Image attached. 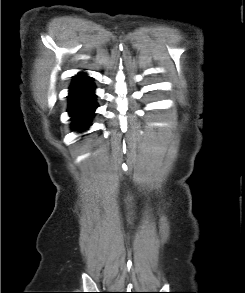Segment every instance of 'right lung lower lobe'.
<instances>
[{
    "mask_svg": "<svg viewBox=\"0 0 245 293\" xmlns=\"http://www.w3.org/2000/svg\"><path fill=\"white\" fill-rule=\"evenodd\" d=\"M95 86L90 77L79 74L74 77L69 91V115L74 130H84L91 125V117L97 108Z\"/></svg>",
    "mask_w": 245,
    "mask_h": 293,
    "instance_id": "1",
    "label": "right lung lower lobe"
}]
</instances>
